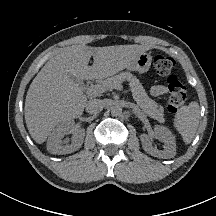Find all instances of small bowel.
<instances>
[{"instance_id":"small-bowel-1","label":"small bowel","mask_w":216,"mask_h":216,"mask_svg":"<svg viewBox=\"0 0 216 216\" xmlns=\"http://www.w3.org/2000/svg\"><path fill=\"white\" fill-rule=\"evenodd\" d=\"M166 92H167L166 86L161 85V84L154 85V86L152 87V89H151V93H152L154 96H161V95L166 94Z\"/></svg>"}]
</instances>
